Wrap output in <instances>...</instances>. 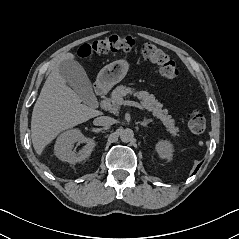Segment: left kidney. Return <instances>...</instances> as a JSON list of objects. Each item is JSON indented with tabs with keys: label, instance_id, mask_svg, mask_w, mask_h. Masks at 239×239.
Segmentation results:
<instances>
[{
	"label": "left kidney",
	"instance_id": "obj_1",
	"mask_svg": "<svg viewBox=\"0 0 239 239\" xmlns=\"http://www.w3.org/2000/svg\"><path fill=\"white\" fill-rule=\"evenodd\" d=\"M156 152L162 159L171 161L173 157V145L170 141L161 140L155 145Z\"/></svg>",
	"mask_w": 239,
	"mask_h": 239
}]
</instances>
